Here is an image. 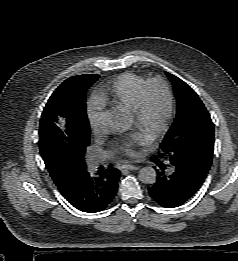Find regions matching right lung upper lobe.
<instances>
[{
	"instance_id": "cb5924a9",
	"label": "right lung upper lobe",
	"mask_w": 238,
	"mask_h": 261,
	"mask_svg": "<svg viewBox=\"0 0 238 261\" xmlns=\"http://www.w3.org/2000/svg\"><path fill=\"white\" fill-rule=\"evenodd\" d=\"M60 122L62 125V130L68 139H76L83 133V128L78 126L76 123L72 121L62 119V121ZM52 179L54 180L60 192H64L73 183V182H66L54 178Z\"/></svg>"
}]
</instances>
